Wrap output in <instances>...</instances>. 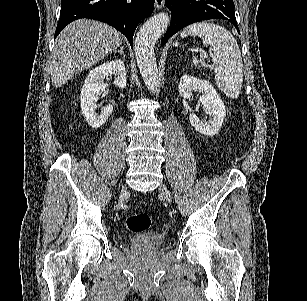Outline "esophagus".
<instances>
[{"mask_svg": "<svg viewBox=\"0 0 307 301\" xmlns=\"http://www.w3.org/2000/svg\"><path fill=\"white\" fill-rule=\"evenodd\" d=\"M165 0H155V6L157 9H160L164 6Z\"/></svg>", "mask_w": 307, "mask_h": 301, "instance_id": "34e87169", "label": "esophagus"}]
</instances>
